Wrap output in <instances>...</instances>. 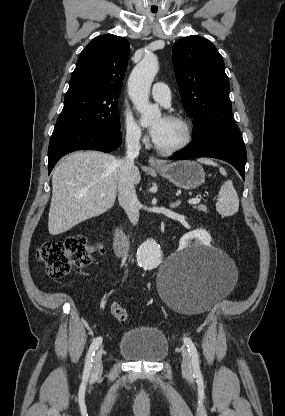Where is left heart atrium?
Segmentation results:
<instances>
[{"instance_id":"39dd6f15","label":"left heart atrium","mask_w":285,"mask_h":416,"mask_svg":"<svg viewBox=\"0 0 285 416\" xmlns=\"http://www.w3.org/2000/svg\"><path fill=\"white\" fill-rule=\"evenodd\" d=\"M164 120L161 118L158 122L151 125L149 129L150 136L155 144H158L164 132Z\"/></svg>"}]
</instances>
